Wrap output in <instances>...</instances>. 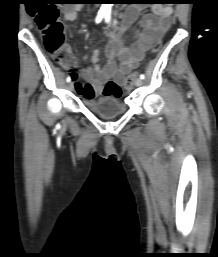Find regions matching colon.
Masks as SVG:
<instances>
[{
  "instance_id": "obj_1",
  "label": "colon",
  "mask_w": 218,
  "mask_h": 257,
  "mask_svg": "<svg viewBox=\"0 0 218 257\" xmlns=\"http://www.w3.org/2000/svg\"><path fill=\"white\" fill-rule=\"evenodd\" d=\"M25 10H33L32 15L42 33L47 50L55 55L59 61H67L68 56L63 49L64 29L59 21L58 5H25ZM160 46V41L155 42L152 52H157ZM135 79V73L127 77L124 84L127 90L132 88ZM102 88H104L101 89L102 98H124V87L115 82V79H106V82L102 83Z\"/></svg>"
}]
</instances>
